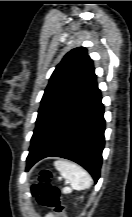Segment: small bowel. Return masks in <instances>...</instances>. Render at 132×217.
Segmentation results:
<instances>
[{"label": "small bowel", "mask_w": 132, "mask_h": 217, "mask_svg": "<svg viewBox=\"0 0 132 217\" xmlns=\"http://www.w3.org/2000/svg\"><path fill=\"white\" fill-rule=\"evenodd\" d=\"M45 217H59L58 215H54L52 213H48Z\"/></svg>", "instance_id": "1"}]
</instances>
